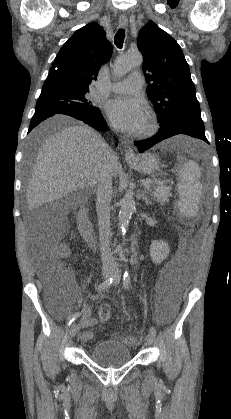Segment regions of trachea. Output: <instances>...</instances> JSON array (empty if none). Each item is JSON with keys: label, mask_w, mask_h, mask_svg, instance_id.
<instances>
[{"label": "trachea", "mask_w": 231, "mask_h": 419, "mask_svg": "<svg viewBox=\"0 0 231 419\" xmlns=\"http://www.w3.org/2000/svg\"><path fill=\"white\" fill-rule=\"evenodd\" d=\"M124 38H125V30L119 29L114 37V43L118 48H122Z\"/></svg>", "instance_id": "trachea-1"}]
</instances>
